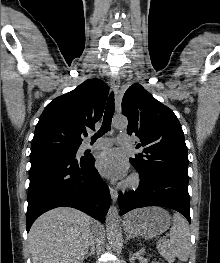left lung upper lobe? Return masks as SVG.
<instances>
[{
    "label": "left lung upper lobe",
    "mask_w": 220,
    "mask_h": 263,
    "mask_svg": "<svg viewBox=\"0 0 220 263\" xmlns=\"http://www.w3.org/2000/svg\"><path fill=\"white\" fill-rule=\"evenodd\" d=\"M127 133L138 136L143 153L130 158L141 175L169 172L188 180V154L181 125L171 109L140 84L131 85L122 99Z\"/></svg>",
    "instance_id": "left-lung-upper-lobe-1"
}]
</instances>
